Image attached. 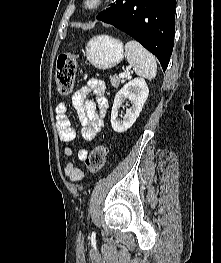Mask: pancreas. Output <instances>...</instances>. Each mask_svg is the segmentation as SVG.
Segmentation results:
<instances>
[{"label":"pancreas","instance_id":"pancreas-1","mask_svg":"<svg viewBox=\"0 0 221 263\" xmlns=\"http://www.w3.org/2000/svg\"><path fill=\"white\" fill-rule=\"evenodd\" d=\"M111 84L114 88H118L121 80L116 75L110 77Z\"/></svg>","mask_w":221,"mask_h":263}]
</instances>
